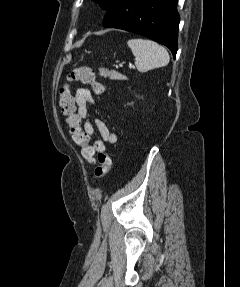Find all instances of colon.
Segmentation results:
<instances>
[{
    "label": "colon",
    "mask_w": 240,
    "mask_h": 287,
    "mask_svg": "<svg viewBox=\"0 0 240 287\" xmlns=\"http://www.w3.org/2000/svg\"><path fill=\"white\" fill-rule=\"evenodd\" d=\"M67 80L68 82H80L85 85H90L96 94H102L104 92V86L96 80L94 72L89 67L74 68L69 72ZM59 106L62 113L67 116L71 137L79 146L82 156L87 161L92 162L95 160V154L97 153V165L94 174L96 179H103L111 168V157L106 151L97 152L94 149L90 142V136L81 126V119L75 110L74 96L67 84L60 90Z\"/></svg>",
    "instance_id": "5ec220e1"
}]
</instances>
